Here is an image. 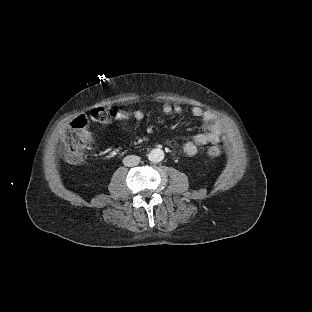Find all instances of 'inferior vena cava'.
I'll list each match as a JSON object with an SVG mask.
<instances>
[{"label":"inferior vena cava","instance_id":"inferior-vena-cava-1","mask_svg":"<svg viewBox=\"0 0 312 312\" xmlns=\"http://www.w3.org/2000/svg\"><path fill=\"white\" fill-rule=\"evenodd\" d=\"M123 162L125 166L134 167L140 163V157L136 155H129L124 158Z\"/></svg>","mask_w":312,"mask_h":312}]
</instances>
